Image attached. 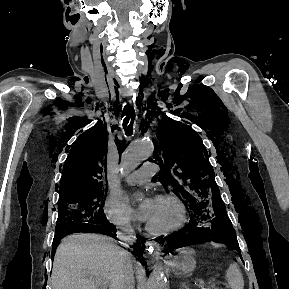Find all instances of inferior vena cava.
<instances>
[{"label":"inferior vena cava","instance_id":"602c4592","mask_svg":"<svg viewBox=\"0 0 289 289\" xmlns=\"http://www.w3.org/2000/svg\"><path fill=\"white\" fill-rule=\"evenodd\" d=\"M118 235L120 238H123L130 243L134 242L136 239L134 230L129 224L121 227V231L118 232ZM117 289H134V275L131 259L123 266Z\"/></svg>","mask_w":289,"mask_h":289}]
</instances>
